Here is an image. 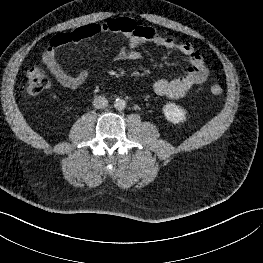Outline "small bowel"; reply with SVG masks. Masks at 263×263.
Wrapping results in <instances>:
<instances>
[{
  "label": "small bowel",
  "mask_w": 263,
  "mask_h": 263,
  "mask_svg": "<svg viewBox=\"0 0 263 263\" xmlns=\"http://www.w3.org/2000/svg\"><path fill=\"white\" fill-rule=\"evenodd\" d=\"M111 33L123 34L127 39L126 47L119 54L122 59H140L142 55L140 48L144 43H153L166 49L177 50L188 58L190 66L183 75L155 81L153 89L160 96L181 98L193 86L204 83L208 78L209 71L204 59L191 43L179 42L173 37L162 35L152 27L139 25L130 18H117L84 25L70 32L54 35L43 54V62L62 86L77 89L85 83L88 73L84 70L76 75L67 73L57 61L58 50L70 44Z\"/></svg>",
  "instance_id": "small-bowel-1"
}]
</instances>
